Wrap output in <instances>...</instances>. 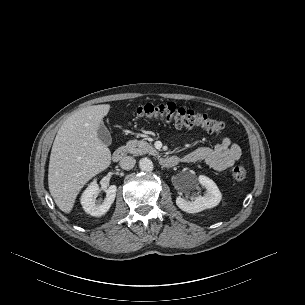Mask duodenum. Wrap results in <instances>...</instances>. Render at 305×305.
Instances as JSON below:
<instances>
[{
    "mask_svg": "<svg viewBox=\"0 0 305 305\" xmlns=\"http://www.w3.org/2000/svg\"><path fill=\"white\" fill-rule=\"evenodd\" d=\"M125 152H126V148L124 146L117 147L112 154V160L114 162H119L124 157ZM179 161L180 159L178 157L167 156V157H162L160 159V164L163 167L169 168L177 165Z\"/></svg>",
    "mask_w": 305,
    "mask_h": 305,
    "instance_id": "1",
    "label": "duodenum"
}]
</instances>
